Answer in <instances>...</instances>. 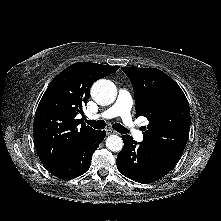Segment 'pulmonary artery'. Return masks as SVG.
Here are the masks:
<instances>
[{"label":"pulmonary artery","instance_id":"e3ab8cb5","mask_svg":"<svg viewBox=\"0 0 221 221\" xmlns=\"http://www.w3.org/2000/svg\"><path fill=\"white\" fill-rule=\"evenodd\" d=\"M132 97L129 92L125 89H120L116 102L109 107L107 110L100 114L92 115L89 118L91 120H105L114 117H121L124 126L129 130L131 135L136 140H142V132L137 128L135 122L132 119L131 108H132Z\"/></svg>","mask_w":221,"mask_h":221}]
</instances>
